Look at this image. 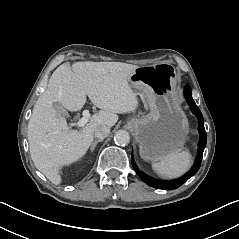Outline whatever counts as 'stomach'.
<instances>
[{"mask_svg":"<svg viewBox=\"0 0 239 239\" xmlns=\"http://www.w3.org/2000/svg\"><path fill=\"white\" fill-rule=\"evenodd\" d=\"M177 80L175 74L148 66L136 69L128 78L132 89L144 93L150 108L149 114L128 122L146 161L159 162L179 153L186 142L189 124L180 106Z\"/></svg>","mask_w":239,"mask_h":239,"instance_id":"1","label":"stomach"}]
</instances>
